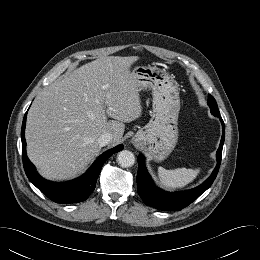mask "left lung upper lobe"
<instances>
[{
    "label": "left lung upper lobe",
    "mask_w": 260,
    "mask_h": 260,
    "mask_svg": "<svg viewBox=\"0 0 260 260\" xmlns=\"http://www.w3.org/2000/svg\"><path fill=\"white\" fill-rule=\"evenodd\" d=\"M208 105L210 107L211 113L214 116L219 117L220 112H219V110L217 108V103H216L215 99L211 95H208Z\"/></svg>",
    "instance_id": "obj_1"
}]
</instances>
